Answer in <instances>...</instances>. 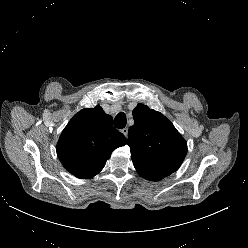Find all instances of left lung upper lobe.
Wrapping results in <instances>:
<instances>
[{"instance_id": "obj_1", "label": "left lung upper lobe", "mask_w": 248, "mask_h": 248, "mask_svg": "<svg viewBox=\"0 0 248 248\" xmlns=\"http://www.w3.org/2000/svg\"><path fill=\"white\" fill-rule=\"evenodd\" d=\"M133 118L128 146L138 174L150 181H160L177 171L186 156L187 142L174 125L144 104L133 110Z\"/></svg>"}]
</instances>
